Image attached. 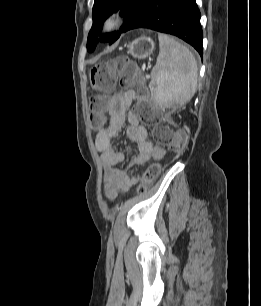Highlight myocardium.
I'll return each mask as SVG.
<instances>
[{"label": "myocardium", "mask_w": 261, "mask_h": 306, "mask_svg": "<svg viewBox=\"0 0 261 306\" xmlns=\"http://www.w3.org/2000/svg\"><path fill=\"white\" fill-rule=\"evenodd\" d=\"M122 24V17L118 14H112L104 20L101 30L105 34L112 33L120 29Z\"/></svg>", "instance_id": "1"}]
</instances>
